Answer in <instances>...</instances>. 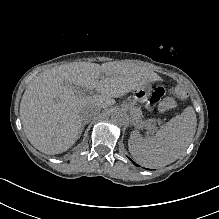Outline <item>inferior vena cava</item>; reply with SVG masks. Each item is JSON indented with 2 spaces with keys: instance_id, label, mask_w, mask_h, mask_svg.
<instances>
[{
  "instance_id": "obj_1",
  "label": "inferior vena cava",
  "mask_w": 219,
  "mask_h": 219,
  "mask_svg": "<svg viewBox=\"0 0 219 219\" xmlns=\"http://www.w3.org/2000/svg\"><path fill=\"white\" fill-rule=\"evenodd\" d=\"M99 115V109L94 106L83 108L80 113L81 119L86 122L97 120Z\"/></svg>"
}]
</instances>
